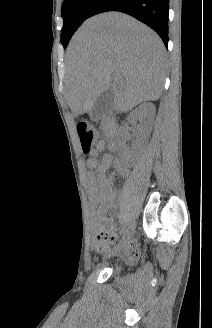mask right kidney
Here are the masks:
<instances>
[{
	"mask_svg": "<svg viewBox=\"0 0 212 328\" xmlns=\"http://www.w3.org/2000/svg\"><path fill=\"white\" fill-rule=\"evenodd\" d=\"M155 112L156 109L152 103H143L129 114L128 121L136 125L139 133V143L146 141L150 135ZM137 121L139 122L138 124Z\"/></svg>",
	"mask_w": 212,
	"mask_h": 328,
	"instance_id": "obj_1",
	"label": "right kidney"
}]
</instances>
